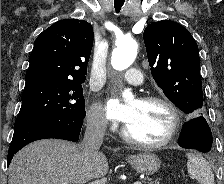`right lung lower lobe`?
I'll return each instance as SVG.
<instances>
[{
  "label": "right lung lower lobe",
  "mask_w": 224,
  "mask_h": 184,
  "mask_svg": "<svg viewBox=\"0 0 224 184\" xmlns=\"http://www.w3.org/2000/svg\"><path fill=\"white\" fill-rule=\"evenodd\" d=\"M82 125V120L51 117L37 119L14 129L12 142L8 151L7 163L10 164L14 154L25 145L39 139L57 138L77 141Z\"/></svg>",
  "instance_id": "98d812e1"
}]
</instances>
